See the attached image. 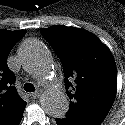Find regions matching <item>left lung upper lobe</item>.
<instances>
[{"label": "left lung upper lobe", "instance_id": "5c2ea615", "mask_svg": "<svg viewBox=\"0 0 125 125\" xmlns=\"http://www.w3.org/2000/svg\"><path fill=\"white\" fill-rule=\"evenodd\" d=\"M63 65L70 107L66 117L100 125L117 91L111 51L90 32L64 25L41 30Z\"/></svg>", "mask_w": 125, "mask_h": 125}]
</instances>
